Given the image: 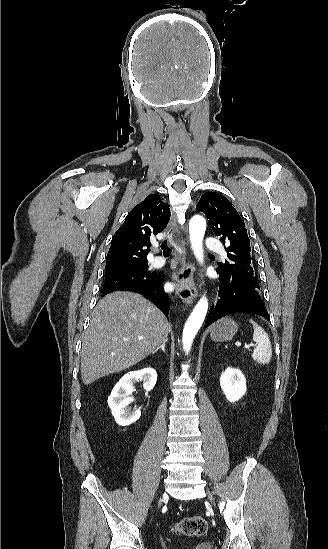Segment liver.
Masks as SVG:
<instances>
[{
    "label": "liver",
    "instance_id": "liver-1",
    "mask_svg": "<svg viewBox=\"0 0 328 549\" xmlns=\"http://www.w3.org/2000/svg\"><path fill=\"white\" fill-rule=\"evenodd\" d=\"M168 333L165 315L142 295L129 291L107 295L93 309L83 337L82 383L91 385L100 377L137 365L168 341Z\"/></svg>",
    "mask_w": 328,
    "mask_h": 549
}]
</instances>
